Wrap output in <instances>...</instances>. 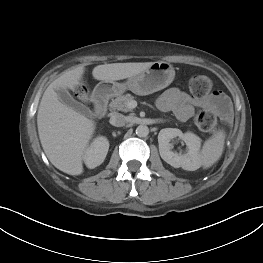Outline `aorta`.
<instances>
[{
	"instance_id": "obj_1",
	"label": "aorta",
	"mask_w": 263,
	"mask_h": 263,
	"mask_svg": "<svg viewBox=\"0 0 263 263\" xmlns=\"http://www.w3.org/2000/svg\"><path fill=\"white\" fill-rule=\"evenodd\" d=\"M149 134V128L146 125H139L136 128V135L138 137H147Z\"/></svg>"
}]
</instances>
